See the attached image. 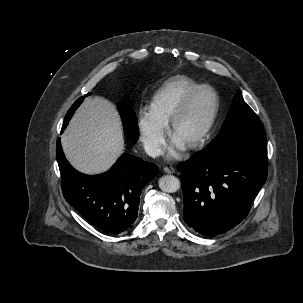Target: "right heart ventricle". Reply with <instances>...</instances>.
<instances>
[{"label": "right heart ventricle", "mask_w": 303, "mask_h": 303, "mask_svg": "<svg viewBox=\"0 0 303 303\" xmlns=\"http://www.w3.org/2000/svg\"><path fill=\"white\" fill-rule=\"evenodd\" d=\"M200 85L187 76L169 78L153 94L150 102L151 114L166 125L185 97Z\"/></svg>", "instance_id": "right-heart-ventricle-1"}]
</instances>
